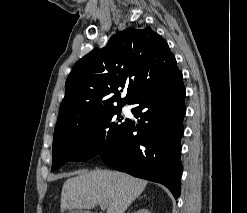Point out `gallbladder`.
<instances>
[{"label":"gallbladder","instance_id":"gallbladder-1","mask_svg":"<svg viewBox=\"0 0 247 213\" xmlns=\"http://www.w3.org/2000/svg\"><path fill=\"white\" fill-rule=\"evenodd\" d=\"M71 213H90V212L83 210H73Z\"/></svg>","mask_w":247,"mask_h":213}]
</instances>
